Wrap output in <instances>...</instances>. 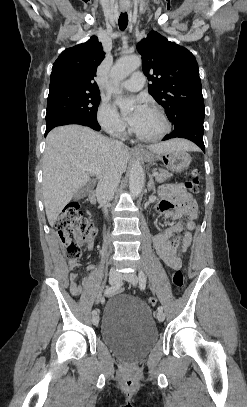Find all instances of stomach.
<instances>
[{
    "mask_svg": "<svg viewBox=\"0 0 247 407\" xmlns=\"http://www.w3.org/2000/svg\"><path fill=\"white\" fill-rule=\"evenodd\" d=\"M141 157L147 162L161 161L169 170L183 171L192 161L191 156L184 150H169L162 153L142 151Z\"/></svg>",
    "mask_w": 247,
    "mask_h": 407,
    "instance_id": "1",
    "label": "stomach"
}]
</instances>
